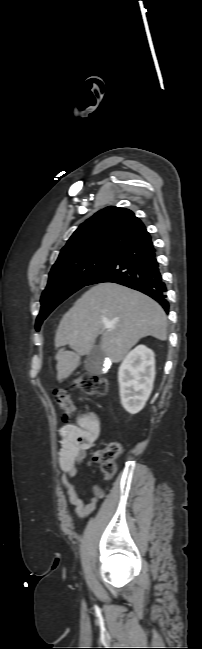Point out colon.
Instances as JSON below:
<instances>
[{"label":"colon","instance_id":"1","mask_svg":"<svg viewBox=\"0 0 202 649\" xmlns=\"http://www.w3.org/2000/svg\"><path fill=\"white\" fill-rule=\"evenodd\" d=\"M77 388L87 394L103 395L107 391V381L96 375L85 374L80 376L74 384ZM54 398L59 407L66 415L74 412L75 406L69 390L57 389L54 391ZM123 452V447L118 442L107 444L104 448L93 454V461L99 466L106 478H111L116 473L115 459Z\"/></svg>","mask_w":202,"mask_h":649}]
</instances>
